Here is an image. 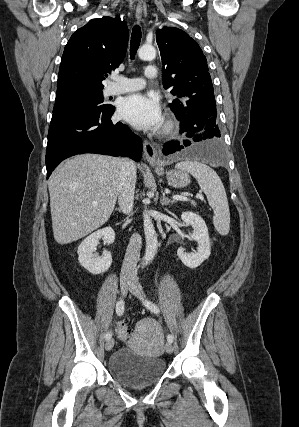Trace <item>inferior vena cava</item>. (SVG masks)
Wrapping results in <instances>:
<instances>
[{
    "label": "inferior vena cava",
    "instance_id": "602c4592",
    "mask_svg": "<svg viewBox=\"0 0 299 427\" xmlns=\"http://www.w3.org/2000/svg\"><path fill=\"white\" fill-rule=\"evenodd\" d=\"M136 183V165L133 160H121L120 180L118 185V203L125 214H130L133 209L134 190ZM142 238L135 233L131 236L122 265V274H137V262L140 256Z\"/></svg>",
    "mask_w": 299,
    "mask_h": 427
}]
</instances>
